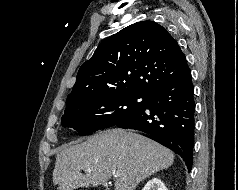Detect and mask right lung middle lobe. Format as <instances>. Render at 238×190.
<instances>
[{
  "instance_id": "1",
  "label": "right lung middle lobe",
  "mask_w": 238,
  "mask_h": 190,
  "mask_svg": "<svg viewBox=\"0 0 238 190\" xmlns=\"http://www.w3.org/2000/svg\"><path fill=\"white\" fill-rule=\"evenodd\" d=\"M148 96L136 93L83 95L65 109L63 127H71L82 135L112 127L142 109Z\"/></svg>"
}]
</instances>
